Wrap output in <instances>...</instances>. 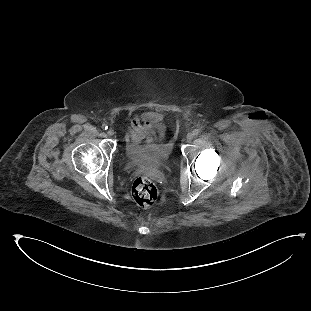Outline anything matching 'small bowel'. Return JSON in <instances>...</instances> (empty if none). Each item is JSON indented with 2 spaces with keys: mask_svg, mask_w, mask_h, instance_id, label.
<instances>
[{
  "mask_svg": "<svg viewBox=\"0 0 311 311\" xmlns=\"http://www.w3.org/2000/svg\"><path fill=\"white\" fill-rule=\"evenodd\" d=\"M129 131L132 142L136 144L149 137L161 139L164 135V126L158 115L146 112L132 117Z\"/></svg>",
  "mask_w": 311,
  "mask_h": 311,
  "instance_id": "c3829d8e",
  "label": "small bowel"
}]
</instances>
